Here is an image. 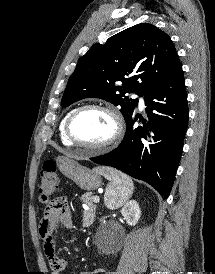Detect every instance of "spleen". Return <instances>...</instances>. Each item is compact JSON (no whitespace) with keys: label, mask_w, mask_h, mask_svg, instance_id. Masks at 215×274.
I'll use <instances>...</instances> for the list:
<instances>
[{"label":"spleen","mask_w":215,"mask_h":274,"mask_svg":"<svg viewBox=\"0 0 215 274\" xmlns=\"http://www.w3.org/2000/svg\"><path fill=\"white\" fill-rule=\"evenodd\" d=\"M96 171L110 180L104 194V202L109 209L121 206L130 198L134 185L129 176L106 167H98Z\"/></svg>","instance_id":"spleen-1"}]
</instances>
